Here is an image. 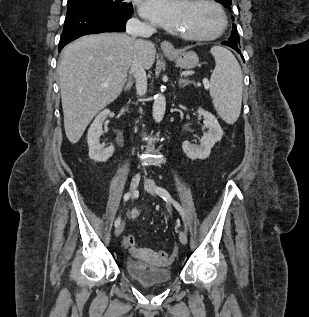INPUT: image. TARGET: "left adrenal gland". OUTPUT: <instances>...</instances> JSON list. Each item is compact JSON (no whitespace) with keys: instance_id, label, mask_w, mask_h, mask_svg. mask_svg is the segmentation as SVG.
Returning a JSON list of instances; mask_svg holds the SVG:
<instances>
[{"instance_id":"1","label":"left adrenal gland","mask_w":309,"mask_h":317,"mask_svg":"<svg viewBox=\"0 0 309 317\" xmlns=\"http://www.w3.org/2000/svg\"><path fill=\"white\" fill-rule=\"evenodd\" d=\"M191 83H193V82L188 80V79L182 78V77L178 81V84H179L180 87H185V86H187L188 84H191Z\"/></svg>"}]
</instances>
